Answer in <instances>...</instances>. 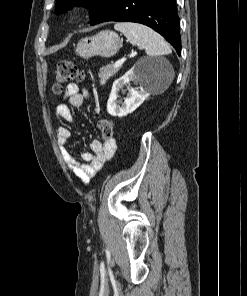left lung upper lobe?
Here are the masks:
<instances>
[{"label":"left lung upper lobe","mask_w":247,"mask_h":296,"mask_svg":"<svg viewBox=\"0 0 247 296\" xmlns=\"http://www.w3.org/2000/svg\"><path fill=\"white\" fill-rule=\"evenodd\" d=\"M55 12L56 14L63 13L74 5L88 6L90 9V18L93 19L98 15L110 2V0H56Z\"/></svg>","instance_id":"obj_1"}]
</instances>
